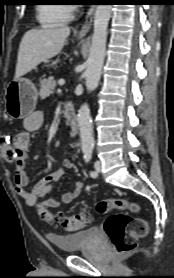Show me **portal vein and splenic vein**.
<instances>
[{
  "mask_svg": "<svg viewBox=\"0 0 174 278\" xmlns=\"http://www.w3.org/2000/svg\"><path fill=\"white\" fill-rule=\"evenodd\" d=\"M64 83H65V82H64L63 80H62V81H59V85H60V86L64 85Z\"/></svg>",
  "mask_w": 174,
  "mask_h": 278,
  "instance_id": "1",
  "label": "portal vein and splenic vein"
}]
</instances>
